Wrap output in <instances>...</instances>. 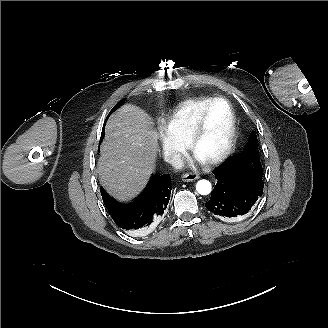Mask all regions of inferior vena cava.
Returning <instances> with one entry per match:
<instances>
[{
  "instance_id": "inferior-vena-cava-1",
  "label": "inferior vena cava",
  "mask_w": 328,
  "mask_h": 328,
  "mask_svg": "<svg viewBox=\"0 0 328 328\" xmlns=\"http://www.w3.org/2000/svg\"><path fill=\"white\" fill-rule=\"evenodd\" d=\"M179 155L180 154H179L178 151L170 150L165 154V161L166 162H172V161L178 159L180 157Z\"/></svg>"
}]
</instances>
